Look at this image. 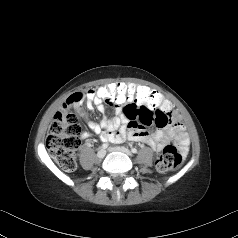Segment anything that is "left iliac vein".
Instances as JSON below:
<instances>
[{
    "label": "left iliac vein",
    "mask_w": 238,
    "mask_h": 238,
    "mask_svg": "<svg viewBox=\"0 0 238 238\" xmlns=\"http://www.w3.org/2000/svg\"><path fill=\"white\" fill-rule=\"evenodd\" d=\"M109 151H118V152H122L128 156H132L131 151L125 147H111V148H109Z\"/></svg>",
    "instance_id": "1"
}]
</instances>
